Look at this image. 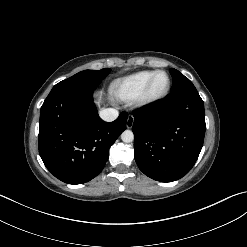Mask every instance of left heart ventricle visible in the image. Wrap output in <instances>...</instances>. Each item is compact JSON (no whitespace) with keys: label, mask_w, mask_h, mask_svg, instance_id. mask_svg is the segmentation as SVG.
Masks as SVG:
<instances>
[{"label":"left heart ventricle","mask_w":247,"mask_h":247,"mask_svg":"<svg viewBox=\"0 0 247 247\" xmlns=\"http://www.w3.org/2000/svg\"><path fill=\"white\" fill-rule=\"evenodd\" d=\"M166 82H167L166 77L164 75H159L154 83V87H153L154 92L155 93L161 92L165 88Z\"/></svg>","instance_id":"1"}]
</instances>
